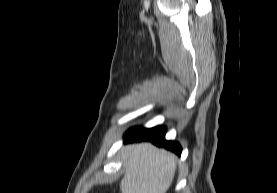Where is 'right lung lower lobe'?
<instances>
[{"mask_svg":"<svg viewBox=\"0 0 277 193\" xmlns=\"http://www.w3.org/2000/svg\"><path fill=\"white\" fill-rule=\"evenodd\" d=\"M165 132L166 129L160 126L151 129L135 127L129 130L124 138L125 142L151 141L160 147H164L181 155V146L177 142L165 140Z\"/></svg>","mask_w":277,"mask_h":193,"instance_id":"98d812e1","label":"right lung lower lobe"}]
</instances>
